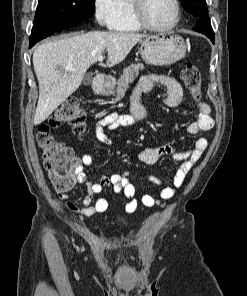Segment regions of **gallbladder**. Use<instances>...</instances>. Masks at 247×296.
<instances>
[{
    "label": "gallbladder",
    "mask_w": 247,
    "mask_h": 296,
    "mask_svg": "<svg viewBox=\"0 0 247 296\" xmlns=\"http://www.w3.org/2000/svg\"><path fill=\"white\" fill-rule=\"evenodd\" d=\"M92 76L91 75H86L85 77H84V79H83V82H84V84L85 85H90L91 84V82H92Z\"/></svg>",
    "instance_id": "1"
}]
</instances>
